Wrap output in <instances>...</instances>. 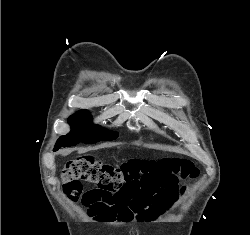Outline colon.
Returning <instances> with one entry per match:
<instances>
[{"mask_svg":"<svg viewBox=\"0 0 250 235\" xmlns=\"http://www.w3.org/2000/svg\"><path fill=\"white\" fill-rule=\"evenodd\" d=\"M198 174L194 164L184 159H135L113 166L93 155H83L67 161L61 180L63 192L73 201L82 198L91 216L123 222L134 217L130 206L140 190L168 188L178 180L194 179ZM82 181L94 183L98 188L81 197Z\"/></svg>","mask_w":250,"mask_h":235,"instance_id":"obj_1","label":"colon"}]
</instances>
